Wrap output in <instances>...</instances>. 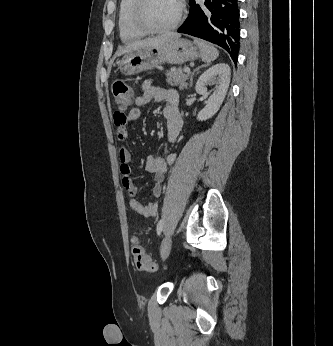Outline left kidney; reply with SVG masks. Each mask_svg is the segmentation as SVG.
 I'll return each mask as SVG.
<instances>
[{
  "label": "left kidney",
  "mask_w": 333,
  "mask_h": 346,
  "mask_svg": "<svg viewBox=\"0 0 333 346\" xmlns=\"http://www.w3.org/2000/svg\"><path fill=\"white\" fill-rule=\"evenodd\" d=\"M231 77L228 64L218 63L207 69L197 80L195 90L200 95H207V87L215 85L213 94L209 97L207 105L198 113L199 121L207 120L217 113L226 96Z\"/></svg>",
  "instance_id": "obj_1"
}]
</instances>
